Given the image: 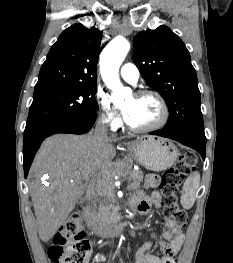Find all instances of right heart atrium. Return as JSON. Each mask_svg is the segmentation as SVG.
Segmentation results:
<instances>
[{"instance_id":"d8ad5b80","label":"right heart atrium","mask_w":233,"mask_h":263,"mask_svg":"<svg viewBox=\"0 0 233 263\" xmlns=\"http://www.w3.org/2000/svg\"><path fill=\"white\" fill-rule=\"evenodd\" d=\"M96 102L99 107L100 122L111 129L117 128L121 123L120 117L112 106L108 95L105 92L98 90L96 92Z\"/></svg>"}]
</instances>
